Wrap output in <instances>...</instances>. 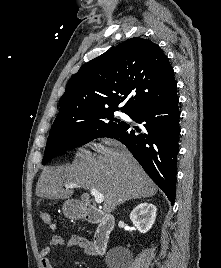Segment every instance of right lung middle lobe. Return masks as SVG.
Wrapping results in <instances>:
<instances>
[{
  "instance_id": "right-lung-middle-lobe-1",
  "label": "right lung middle lobe",
  "mask_w": 221,
  "mask_h": 268,
  "mask_svg": "<svg viewBox=\"0 0 221 268\" xmlns=\"http://www.w3.org/2000/svg\"><path fill=\"white\" fill-rule=\"evenodd\" d=\"M125 122L114 118V111L85 114L74 118L55 119L45 148L42 164L55 156L107 135Z\"/></svg>"
}]
</instances>
